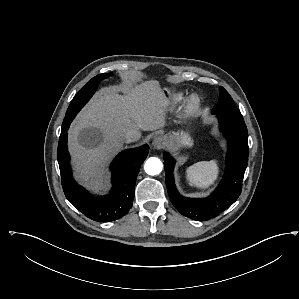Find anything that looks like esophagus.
<instances>
[{
    "label": "esophagus",
    "instance_id": "1",
    "mask_svg": "<svg viewBox=\"0 0 299 299\" xmlns=\"http://www.w3.org/2000/svg\"><path fill=\"white\" fill-rule=\"evenodd\" d=\"M165 144V139L162 136H156L152 141L154 149H161Z\"/></svg>",
    "mask_w": 299,
    "mask_h": 299
}]
</instances>
